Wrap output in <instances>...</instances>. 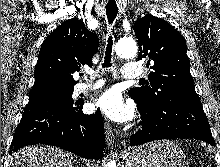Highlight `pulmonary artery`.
<instances>
[{
	"label": "pulmonary artery",
	"mask_w": 220,
	"mask_h": 167,
	"mask_svg": "<svg viewBox=\"0 0 220 167\" xmlns=\"http://www.w3.org/2000/svg\"><path fill=\"white\" fill-rule=\"evenodd\" d=\"M142 68L138 64L126 63L122 67V76L124 79H138L142 75ZM104 84L102 79H97L91 84H82L80 87L81 92H92L101 88Z\"/></svg>",
	"instance_id": "obj_1"
}]
</instances>
